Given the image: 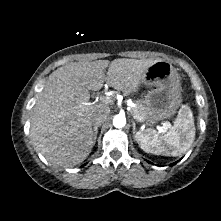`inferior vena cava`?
<instances>
[{
  "label": "inferior vena cava",
  "mask_w": 221,
  "mask_h": 221,
  "mask_svg": "<svg viewBox=\"0 0 221 221\" xmlns=\"http://www.w3.org/2000/svg\"><path fill=\"white\" fill-rule=\"evenodd\" d=\"M107 119V114L103 109H98L92 114V122L95 125H100Z\"/></svg>",
  "instance_id": "602c4592"
}]
</instances>
